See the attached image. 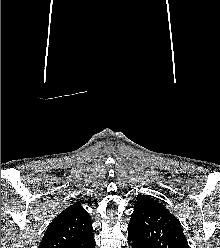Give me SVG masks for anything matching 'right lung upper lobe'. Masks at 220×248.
Wrapping results in <instances>:
<instances>
[{
  "instance_id": "obj_1",
  "label": "right lung upper lobe",
  "mask_w": 220,
  "mask_h": 248,
  "mask_svg": "<svg viewBox=\"0 0 220 248\" xmlns=\"http://www.w3.org/2000/svg\"><path fill=\"white\" fill-rule=\"evenodd\" d=\"M91 218L76 202L49 224L38 248H84L94 241Z\"/></svg>"
}]
</instances>
